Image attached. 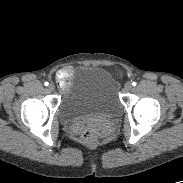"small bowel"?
<instances>
[{"label":"small bowel","mask_w":183,"mask_h":183,"mask_svg":"<svg viewBox=\"0 0 183 183\" xmlns=\"http://www.w3.org/2000/svg\"><path fill=\"white\" fill-rule=\"evenodd\" d=\"M58 76H63L65 79V87H61L63 89L67 88L70 82V78L72 76V70L71 69H64L59 72Z\"/></svg>","instance_id":"small-bowel-1"}]
</instances>
